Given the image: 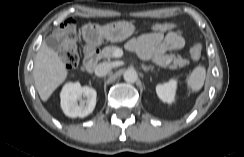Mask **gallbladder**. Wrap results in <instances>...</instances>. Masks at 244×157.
Here are the masks:
<instances>
[{
  "label": "gallbladder",
  "instance_id": "bac80fb5",
  "mask_svg": "<svg viewBox=\"0 0 244 157\" xmlns=\"http://www.w3.org/2000/svg\"><path fill=\"white\" fill-rule=\"evenodd\" d=\"M45 43L51 49H58L60 46L59 40L51 35L45 39Z\"/></svg>",
  "mask_w": 244,
  "mask_h": 157
}]
</instances>
